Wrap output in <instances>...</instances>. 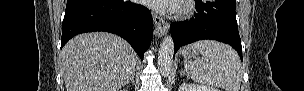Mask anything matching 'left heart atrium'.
Here are the masks:
<instances>
[{
	"label": "left heart atrium",
	"instance_id": "left-heart-atrium-1",
	"mask_svg": "<svg viewBox=\"0 0 304 91\" xmlns=\"http://www.w3.org/2000/svg\"><path fill=\"white\" fill-rule=\"evenodd\" d=\"M176 0H148V6L163 11H173L177 8Z\"/></svg>",
	"mask_w": 304,
	"mask_h": 91
}]
</instances>
